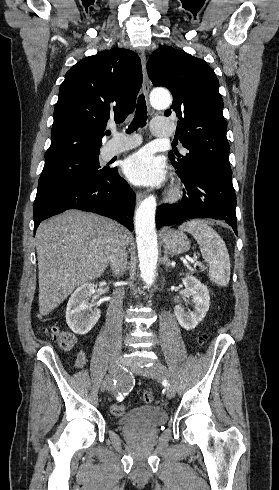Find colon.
Listing matches in <instances>:
<instances>
[{"label": "colon", "mask_w": 279, "mask_h": 490, "mask_svg": "<svg viewBox=\"0 0 279 490\" xmlns=\"http://www.w3.org/2000/svg\"><path fill=\"white\" fill-rule=\"evenodd\" d=\"M41 332L54 341H56L59 347L63 350H70L75 344V336L66 331L60 330L55 325H46L41 329ZM206 340V335H202L200 341L204 343ZM153 396L150 392H146L143 395V400L146 403L152 402ZM127 406L123 403L114 404L111 406V413L115 416H121L126 412Z\"/></svg>", "instance_id": "5ec220e1"}]
</instances>
